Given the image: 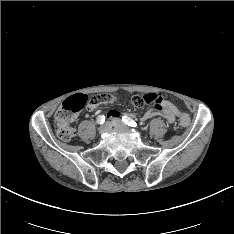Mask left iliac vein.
<instances>
[{
  "label": "left iliac vein",
  "mask_w": 234,
  "mask_h": 234,
  "mask_svg": "<svg viewBox=\"0 0 234 234\" xmlns=\"http://www.w3.org/2000/svg\"><path fill=\"white\" fill-rule=\"evenodd\" d=\"M112 125L118 129H123V130L128 129V127L120 119H117V118L112 120Z\"/></svg>",
  "instance_id": "1"
}]
</instances>
